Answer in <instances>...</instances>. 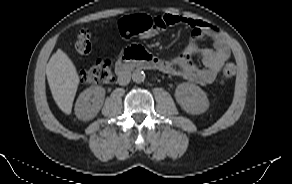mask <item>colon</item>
<instances>
[{
    "mask_svg": "<svg viewBox=\"0 0 292 184\" xmlns=\"http://www.w3.org/2000/svg\"><path fill=\"white\" fill-rule=\"evenodd\" d=\"M161 27L154 17L140 14L127 16L120 20L118 33L122 38L138 36L144 40H153L161 32ZM93 38L87 29H82L75 43L80 54H89L93 48ZM236 73L234 64H227L222 72L223 81L231 79ZM81 81L85 84H107L113 80L111 63L108 60H99L89 69L81 72Z\"/></svg>",
    "mask_w": 292,
    "mask_h": 184,
    "instance_id": "obj_1",
    "label": "colon"
}]
</instances>
